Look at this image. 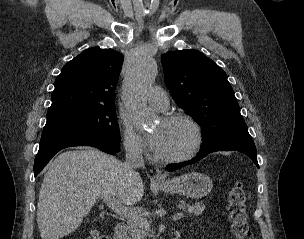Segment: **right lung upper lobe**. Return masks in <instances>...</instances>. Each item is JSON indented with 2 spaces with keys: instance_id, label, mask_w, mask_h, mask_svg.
I'll return each mask as SVG.
<instances>
[{
  "instance_id": "obj_1",
  "label": "right lung upper lobe",
  "mask_w": 304,
  "mask_h": 239,
  "mask_svg": "<svg viewBox=\"0 0 304 239\" xmlns=\"http://www.w3.org/2000/svg\"><path fill=\"white\" fill-rule=\"evenodd\" d=\"M123 55L112 49L90 48L68 62L55 80L48 113L114 105Z\"/></svg>"
}]
</instances>
